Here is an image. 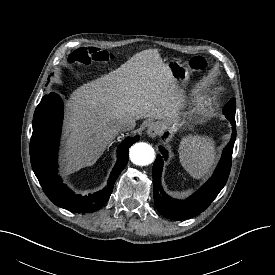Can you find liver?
I'll return each mask as SVG.
<instances>
[{
	"mask_svg": "<svg viewBox=\"0 0 275 275\" xmlns=\"http://www.w3.org/2000/svg\"><path fill=\"white\" fill-rule=\"evenodd\" d=\"M180 100L181 92L158 50L135 54L71 94L66 104L64 161L79 166L95 162L119 133V119H170Z\"/></svg>",
	"mask_w": 275,
	"mask_h": 275,
	"instance_id": "obj_1",
	"label": "liver"
}]
</instances>
